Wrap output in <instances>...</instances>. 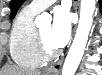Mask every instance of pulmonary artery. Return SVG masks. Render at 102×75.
<instances>
[{
    "label": "pulmonary artery",
    "instance_id": "1",
    "mask_svg": "<svg viewBox=\"0 0 102 75\" xmlns=\"http://www.w3.org/2000/svg\"><path fill=\"white\" fill-rule=\"evenodd\" d=\"M54 0H37L30 2L27 7H29L31 10L39 13L49 7L51 4H53Z\"/></svg>",
    "mask_w": 102,
    "mask_h": 75
}]
</instances>
